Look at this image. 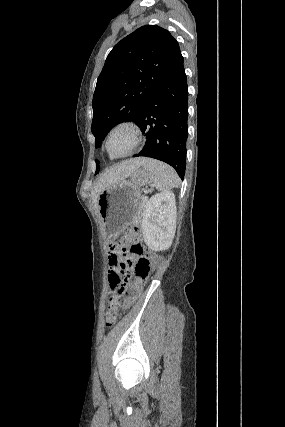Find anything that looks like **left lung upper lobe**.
Masks as SVG:
<instances>
[{
	"mask_svg": "<svg viewBox=\"0 0 285 427\" xmlns=\"http://www.w3.org/2000/svg\"><path fill=\"white\" fill-rule=\"evenodd\" d=\"M180 54L176 39L157 25L142 26L115 45L93 96L92 133L96 148L115 125L137 121ZM98 171L99 165L95 174Z\"/></svg>",
	"mask_w": 285,
	"mask_h": 427,
	"instance_id": "5c2ea615",
	"label": "left lung upper lobe"
}]
</instances>
